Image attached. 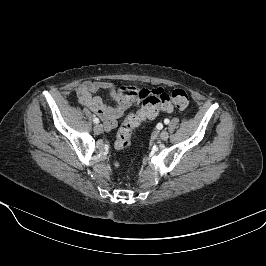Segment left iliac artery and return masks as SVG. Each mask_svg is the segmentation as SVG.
<instances>
[{
  "mask_svg": "<svg viewBox=\"0 0 266 266\" xmlns=\"http://www.w3.org/2000/svg\"><path fill=\"white\" fill-rule=\"evenodd\" d=\"M169 122H170L169 119H165V120H164V123H165V124H169Z\"/></svg>",
  "mask_w": 266,
  "mask_h": 266,
  "instance_id": "obj_1",
  "label": "left iliac artery"
}]
</instances>
